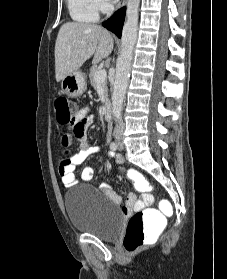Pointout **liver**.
<instances>
[{
    "mask_svg": "<svg viewBox=\"0 0 227 279\" xmlns=\"http://www.w3.org/2000/svg\"><path fill=\"white\" fill-rule=\"evenodd\" d=\"M114 46L112 35L103 27L80 22H67L58 32L55 44V77L60 82L93 56L97 64L108 57Z\"/></svg>",
    "mask_w": 227,
    "mask_h": 279,
    "instance_id": "1",
    "label": "liver"
}]
</instances>
